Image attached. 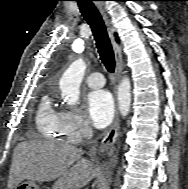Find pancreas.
Returning <instances> with one entry per match:
<instances>
[{"mask_svg":"<svg viewBox=\"0 0 188 189\" xmlns=\"http://www.w3.org/2000/svg\"><path fill=\"white\" fill-rule=\"evenodd\" d=\"M56 187H57V184L54 185V189H56Z\"/></svg>","mask_w":188,"mask_h":189,"instance_id":"pancreas-1","label":"pancreas"}]
</instances>
